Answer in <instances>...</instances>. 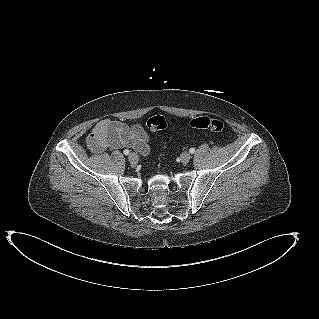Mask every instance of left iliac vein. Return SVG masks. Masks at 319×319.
Segmentation results:
<instances>
[{
  "instance_id": "obj_1",
  "label": "left iliac vein",
  "mask_w": 319,
  "mask_h": 319,
  "mask_svg": "<svg viewBox=\"0 0 319 319\" xmlns=\"http://www.w3.org/2000/svg\"><path fill=\"white\" fill-rule=\"evenodd\" d=\"M190 158H191V155L189 152H183L180 156L181 162L183 164H187L189 162Z\"/></svg>"
}]
</instances>
